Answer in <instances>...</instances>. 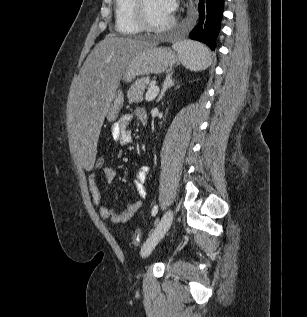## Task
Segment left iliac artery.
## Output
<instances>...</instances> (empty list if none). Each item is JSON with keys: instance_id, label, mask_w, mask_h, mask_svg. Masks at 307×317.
I'll return each instance as SVG.
<instances>
[{"instance_id": "obj_1", "label": "left iliac artery", "mask_w": 307, "mask_h": 317, "mask_svg": "<svg viewBox=\"0 0 307 317\" xmlns=\"http://www.w3.org/2000/svg\"><path fill=\"white\" fill-rule=\"evenodd\" d=\"M158 212V205H154V207L152 208V216H155Z\"/></svg>"}]
</instances>
